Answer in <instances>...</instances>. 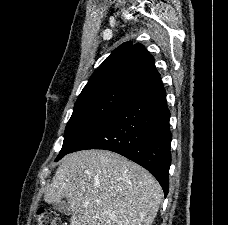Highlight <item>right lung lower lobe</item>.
Listing matches in <instances>:
<instances>
[{
  "label": "right lung lower lobe",
  "mask_w": 228,
  "mask_h": 225,
  "mask_svg": "<svg viewBox=\"0 0 228 225\" xmlns=\"http://www.w3.org/2000/svg\"><path fill=\"white\" fill-rule=\"evenodd\" d=\"M169 118L165 89L158 77L90 130L69 153L85 149L116 152L151 172L166 197L172 138Z\"/></svg>",
  "instance_id": "right-lung-lower-lobe-1"
}]
</instances>
